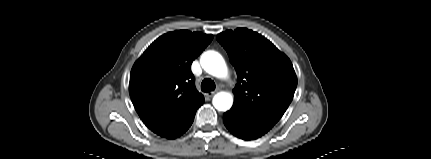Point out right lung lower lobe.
<instances>
[{"label":"right lung lower lobe","instance_id":"98d812e1","mask_svg":"<svg viewBox=\"0 0 431 159\" xmlns=\"http://www.w3.org/2000/svg\"><path fill=\"white\" fill-rule=\"evenodd\" d=\"M196 111H194V113L189 117V119L185 122V124L182 126V128L178 132H176L172 137H170L169 139L177 138V137L181 136L183 133H185L189 129V127L193 123Z\"/></svg>","mask_w":431,"mask_h":159}]
</instances>
